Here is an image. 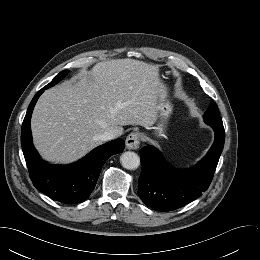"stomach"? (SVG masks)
Returning a JSON list of instances; mask_svg holds the SVG:
<instances>
[{
    "mask_svg": "<svg viewBox=\"0 0 260 260\" xmlns=\"http://www.w3.org/2000/svg\"><path fill=\"white\" fill-rule=\"evenodd\" d=\"M164 85V84H163ZM164 92L160 93L158 96V104H157V109L160 117V122L156 127H153L154 129V134L157 138L159 139H166V124L169 116L172 113L173 105L171 103V100L169 98L168 94V87L164 85Z\"/></svg>",
    "mask_w": 260,
    "mask_h": 260,
    "instance_id": "1",
    "label": "stomach"
}]
</instances>
